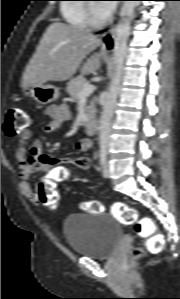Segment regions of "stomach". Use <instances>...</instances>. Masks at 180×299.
Wrapping results in <instances>:
<instances>
[{"label": "stomach", "mask_w": 180, "mask_h": 299, "mask_svg": "<svg viewBox=\"0 0 180 299\" xmlns=\"http://www.w3.org/2000/svg\"><path fill=\"white\" fill-rule=\"evenodd\" d=\"M24 97H31L40 105H46L58 98L59 89L46 82L40 84H28L21 88Z\"/></svg>", "instance_id": "0dacf381"}]
</instances>
